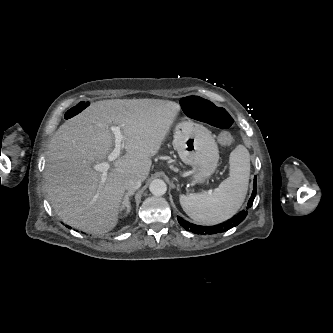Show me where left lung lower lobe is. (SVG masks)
Instances as JSON below:
<instances>
[{
  "label": "left lung lower lobe",
  "instance_id": "obj_1",
  "mask_svg": "<svg viewBox=\"0 0 333 333\" xmlns=\"http://www.w3.org/2000/svg\"><path fill=\"white\" fill-rule=\"evenodd\" d=\"M256 195V176L254 177V183H253V192L252 195L248 201V206L251 207L253 204V201L255 199ZM247 211L243 210L239 212L236 216L228 220L227 222H224L222 224L216 225V226H200V225H195L192 224L183 218L178 216V222L180 223L181 226L184 227L185 230L197 233V234H216L220 232H226L229 229L237 226L240 224L246 217Z\"/></svg>",
  "mask_w": 333,
  "mask_h": 333
}]
</instances>
